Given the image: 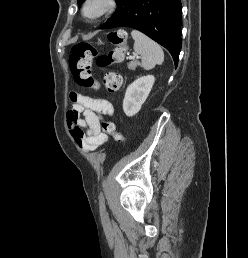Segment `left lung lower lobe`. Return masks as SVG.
Listing matches in <instances>:
<instances>
[{
  "label": "left lung lower lobe",
  "mask_w": 248,
  "mask_h": 258,
  "mask_svg": "<svg viewBox=\"0 0 248 258\" xmlns=\"http://www.w3.org/2000/svg\"><path fill=\"white\" fill-rule=\"evenodd\" d=\"M181 10L180 0H129L101 29L135 28L165 47L177 66L181 50Z\"/></svg>",
  "instance_id": "left-lung-lower-lobe-1"
}]
</instances>
